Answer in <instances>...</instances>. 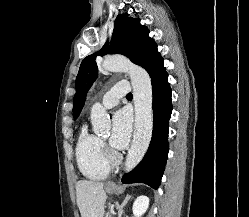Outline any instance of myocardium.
Returning <instances> with one entry per match:
<instances>
[{"label":"myocardium","instance_id":"f54148a6","mask_svg":"<svg viewBox=\"0 0 249 217\" xmlns=\"http://www.w3.org/2000/svg\"><path fill=\"white\" fill-rule=\"evenodd\" d=\"M106 159H107V162L109 163V164H117V163H119V161H120V156L117 154V153H115V152H112V151H108L107 153H106Z\"/></svg>","mask_w":249,"mask_h":217}]
</instances>
